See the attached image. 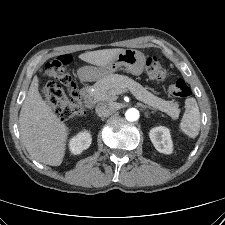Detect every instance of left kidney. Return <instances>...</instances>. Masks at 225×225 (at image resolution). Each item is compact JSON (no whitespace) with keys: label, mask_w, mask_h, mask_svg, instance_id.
Here are the masks:
<instances>
[{"label":"left kidney","mask_w":225,"mask_h":225,"mask_svg":"<svg viewBox=\"0 0 225 225\" xmlns=\"http://www.w3.org/2000/svg\"><path fill=\"white\" fill-rule=\"evenodd\" d=\"M149 137L157 151L164 154L172 153L173 143L168 128L155 127L150 130Z\"/></svg>","instance_id":"obj_1"}]
</instances>
